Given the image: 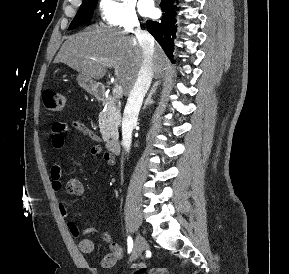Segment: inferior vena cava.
I'll list each match as a JSON object with an SVG mask.
<instances>
[{
    "label": "inferior vena cava",
    "mask_w": 289,
    "mask_h": 274,
    "mask_svg": "<svg viewBox=\"0 0 289 274\" xmlns=\"http://www.w3.org/2000/svg\"><path fill=\"white\" fill-rule=\"evenodd\" d=\"M135 35L142 49L144 59L137 80L127 99L122 119V145L126 153L130 152L133 127L137 123L143 99L153 78L151 63L154 54V40L146 31L140 28L136 29Z\"/></svg>",
    "instance_id": "602c4592"
}]
</instances>
